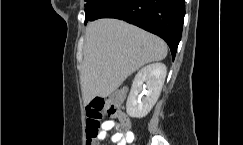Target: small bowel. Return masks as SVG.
I'll return each mask as SVG.
<instances>
[{
    "mask_svg": "<svg viewBox=\"0 0 243 145\" xmlns=\"http://www.w3.org/2000/svg\"><path fill=\"white\" fill-rule=\"evenodd\" d=\"M118 122L120 124L121 119H127V116L120 112L119 116L117 117ZM129 122V120H128ZM117 125V122L113 121V120H105L102 123V130L98 133L97 139L98 140H104L107 136V132L110 131L112 128H114ZM110 139L113 143H116L117 145H127L130 143L134 142L135 139V135L132 131L128 130L125 133H120V132H116L111 134Z\"/></svg>",
    "mask_w": 243,
    "mask_h": 145,
    "instance_id": "small-bowel-1",
    "label": "small bowel"
}]
</instances>
